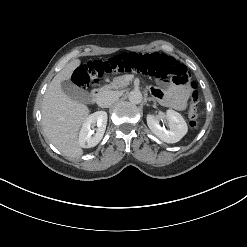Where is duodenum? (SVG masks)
<instances>
[{
  "mask_svg": "<svg viewBox=\"0 0 247 247\" xmlns=\"http://www.w3.org/2000/svg\"><path fill=\"white\" fill-rule=\"evenodd\" d=\"M102 93H103V89L100 87L93 89L92 95H91L92 102L97 103L98 100L100 99Z\"/></svg>",
  "mask_w": 247,
  "mask_h": 247,
  "instance_id": "410a0bca",
  "label": "duodenum"
}]
</instances>
